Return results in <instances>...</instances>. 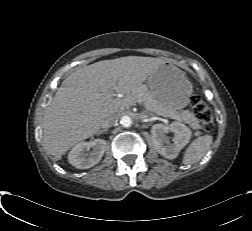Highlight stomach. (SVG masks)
Listing matches in <instances>:
<instances>
[{"label": "stomach", "mask_w": 252, "mask_h": 231, "mask_svg": "<svg viewBox=\"0 0 252 231\" xmlns=\"http://www.w3.org/2000/svg\"><path fill=\"white\" fill-rule=\"evenodd\" d=\"M149 92L163 110H181L189 104L192 83L185 74L169 63H163L148 78Z\"/></svg>", "instance_id": "stomach-1"}]
</instances>
